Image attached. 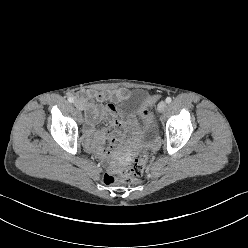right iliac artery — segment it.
Returning <instances> with one entry per match:
<instances>
[{"label":"right iliac artery","mask_w":248,"mask_h":248,"mask_svg":"<svg viewBox=\"0 0 248 248\" xmlns=\"http://www.w3.org/2000/svg\"><path fill=\"white\" fill-rule=\"evenodd\" d=\"M68 101H69L70 103H72V102L74 101L73 97H69V98H68Z\"/></svg>","instance_id":"1"}]
</instances>
